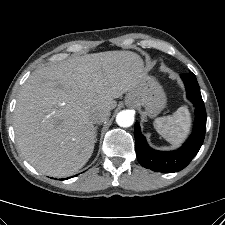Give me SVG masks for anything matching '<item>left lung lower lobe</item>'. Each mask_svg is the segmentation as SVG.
Returning a JSON list of instances; mask_svg holds the SVG:
<instances>
[{"mask_svg": "<svg viewBox=\"0 0 225 225\" xmlns=\"http://www.w3.org/2000/svg\"><path fill=\"white\" fill-rule=\"evenodd\" d=\"M187 97L195 106V125L186 143L175 151H157L150 148L142 135L140 126L135 123L136 154L139 163L156 172L173 173L185 168L200 150L206 131V111L200 88L193 73L182 74Z\"/></svg>", "mask_w": 225, "mask_h": 225, "instance_id": "obj_1", "label": "left lung lower lobe"}]
</instances>
